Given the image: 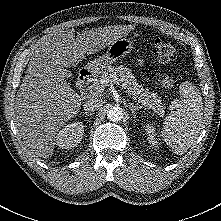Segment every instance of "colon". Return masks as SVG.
Segmentation results:
<instances>
[{
  "label": "colon",
  "instance_id": "colon-1",
  "mask_svg": "<svg viewBox=\"0 0 221 221\" xmlns=\"http://www.w3.org/2000/svg\"><path fill=\"white\" fill-rule=\"evenodd\" d=\"M152 45L160 62L169 63L176 59L177 52L170 43L156 38L153 40ZM160 84L164 89H171L175 85V79L173 76L166 74L161 76Z\"/></svg>",
  "mask_w": 221,
  "mask_h": 221
}]
</instances>
